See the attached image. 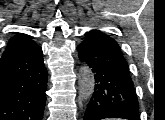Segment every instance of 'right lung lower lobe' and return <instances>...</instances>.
<instances>
[{
  "label": "right lung lower lobe",
  "mask_w": 165,
  "mask_h": 120,
  "mask_svg": "<svg viewBox=\"0 0 165 120\" xmlns=\"http://www.w3.org/2000/svg\"><path fill=\"white\" fill-rule=\"evenodd\" d=\"M46 89L41 47L27 35L10 39L0 60V120H42Z\"/></svg>",
  "instance_id": "obj_1"
}]
</instances>
